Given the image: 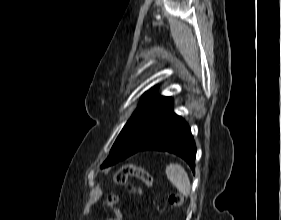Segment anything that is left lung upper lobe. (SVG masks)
<instances>
[{"instance_id":"obj_1","label":"left lung upper lobe","mask_w":281,"mask_h":220,"mask_svg":"<svg viewBox=\"0 0 281 220\" xmlns=\"http://www.w3.org/2000/svg\"><path fill=\"white\" fill-rule=\"evenodd\" d=\"M171 97L146 92L142 101L117 137L101 168L113 165L138 152L152 137L172 109Z\"/></svg>"}]
</instances>
